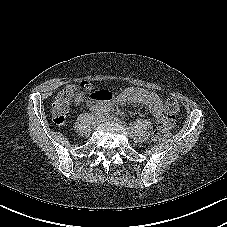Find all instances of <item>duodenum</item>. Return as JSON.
<instances>
[{"mask_svg":"<svg viewBox=\"0 0 227 227\" xmlns=\"http://www.w3.org/2000/svg\"><path fill=\"white\" fill-rule=\"evenodd\" d=\"M117 97L113 91H98L96 92L92 100L90 101V106L95 111H102L116 103Z\"/></svg>","mask_w":227,"mask_h":227,"instance_id":"duodenum-1","label":"duodenum"}]
</instances>
